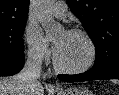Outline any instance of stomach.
<instances>
[{"label":"stomach","instance_id":"1","mask_svg":"<svg viewBox=\"0 0 119 95\" xmlns=\"http://www.w3.org/2000/svg\"><path fill=\"white\" fill-rule=\"evenodd\" d=\"M56 95H92V93L89 90L83 88H72L69 90L57 91Z\"/></svg>","mask_w":119,"mask_h":95}]
</instances>
